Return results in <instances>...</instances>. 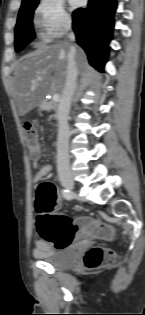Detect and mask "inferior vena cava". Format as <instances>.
Here are the masks:
<instances>
[{
    "label": "inferior vena cava",
    "mask_w": 145,
    "mask_h": 315,
    "mask_svg": "<svg viewBox=\"0 0 145 315\" xmlns=\"http://www.w3.org/2000/svg\"><path fill=\"white\" fill-rule=\"evenodd\" d=\"M68 29H71V25L68 26ZM68 38L70 41H74V33H69ZM77 73L78 69L75 61V55L73 50H71L67 56L66 80L57 109V172L61 180L72 178L69 164L70 133L67 118L71 108V100L76 88Z\"/></svg>",
    "instance_id": "1"
}]
</instances>
